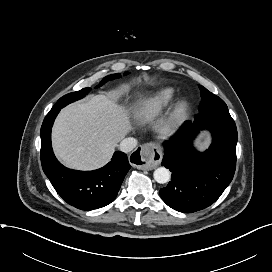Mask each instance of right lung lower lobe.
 I'll use <instances>...</instances> for the list:
<instances>
[{
	"label": "right lung lower lobe",
	"instance_id": "right-lung-lower-lobe-1",
	"mask_svg": "<svg viewBox=\"0 0 272 272\" xmlns=\"http://www.w3.org/2000/svg\"><path fill=\"white\" fill-rule=\"evenodd\" d=\"M61 107L52 108L41 127V164L61 198L85 211L110 204L117 196L122 181L131 168L127 155L115 152L111 161L93 171H77L64 167L54 156L51 128Z\"/></svg>",
	"mask_w": 272,
	"mask_h": 272
}]
</instances>
